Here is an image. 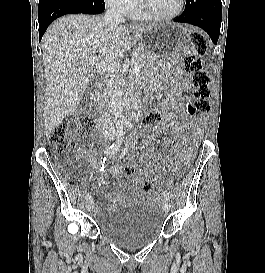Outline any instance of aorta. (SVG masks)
Listing matches in <instances>:
<instances>
[{
	"instance_id": "1",
	"label": "aorta",
	"mask_w": 265,
	"mask_h": 273,
	"mask_svg": "<svg viewBox=\"0 0 265 273\" xmlns=\"http://www.w3.org/2000/svg\"><path fill=\"white\" fill-rule=\"evenodd\" d=\"M110 107L113 119L117 125L125 123L126 118L123 112V92L121 88H116L110 98Z\"/></svg>"
}]
</instances>
